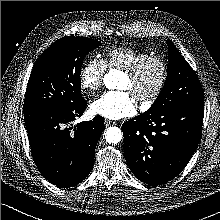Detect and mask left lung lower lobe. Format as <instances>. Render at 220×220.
Wrapping results in <instances>:
<instances>
[{
  "label": "left lung lower lobe",
  "instance_id": "obj_1",
  "mask_svg": "<svg viewBox=\"0 0 220 220\" xmlns=\"http://www.w3.org/2000/svg\"><path fill=\"white\" fill-rule=\"evenodd\" d=\"M204 103L144 112L124 123V154L132 173L158 186L180 174L201 139Z\"/></svg>",
  "mask_w": 220,
  "mask_h": 220
}]
</instances>
